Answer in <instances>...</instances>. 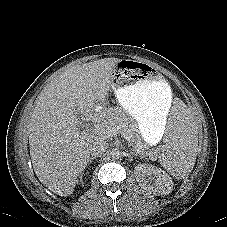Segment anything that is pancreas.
I'll list each match as a JSON object with an SVG mask.
<instances>
[{
    "label": "pancreas",
    "instance_id": "obj_1",
    "mask_svg": "<svg viewBox=\"0 0 227 227\" xmlns=\"http://www.w3.org/2000/svg\"><path fill=\"white\" fill-rule=\"evenodd\" d=\"M105 128L114 132H120L130 142H135L139 149L145 147L140 141L137 124L124 110L119 108L109 109L101 122Z\"/></svg>",
    "mask_w": 227,
    "mask_h": 227
}]
</instances>
